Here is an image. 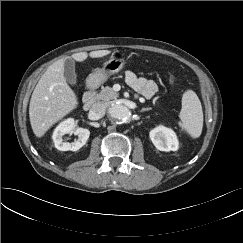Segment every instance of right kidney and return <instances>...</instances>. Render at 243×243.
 Here are the masks:
<instances>
[{
    "label": "right kidney",
    "mask_w": 243,
    "mask_h": 243,
    "mask_svg": "<svg viewBox=\"0 0 243 243\" xmlns=\"http://www.w3.org/2000/svg\"><path fill=\"white\" fill-rule=\"evenodd\" d=\"M69 133H74L78 136V139L71 143L63 141V136ZM89 136L90 131L88 129L75 128L74 119L68 118L55 128L52 139L55 147L60 151H77L86 144Z\"/></svg>",
    "instance_id": "1"
}]
</instances>
